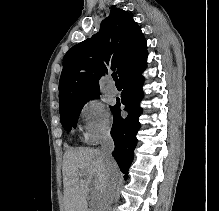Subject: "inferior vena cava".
<instances>
[{"label": "inferior vena cava", "mask_w": 219, "mask_h": 211, "mask_svg": "<svg viewBox=\"0 0 219 211\" xmlns=\"http://www.w3.org/2000/svg\"><path fill=\"white\" fill-rule=\"evenodd\" d=\"M114 147V141L110 135L103 137L101 141V153L104 159L103 170L107 171L108 175H111V178H109V183H107L109 193H116V188H120V183H122V179H124V174H122L121 170H118L117 161H115V159L112 157V151ZM106 205L109 207L111 204L108 202ZM102 211L107 210L104 208Z\"/></svg>", "instance_id": "obj_1"}]
</instances>
